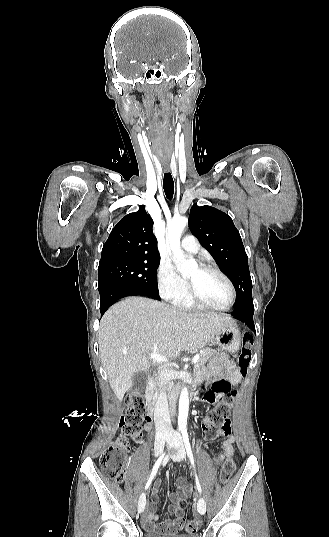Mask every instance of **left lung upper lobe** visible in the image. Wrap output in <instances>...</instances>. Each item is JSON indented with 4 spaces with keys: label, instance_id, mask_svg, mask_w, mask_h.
<instances>
[{
    "label": "left lung upper lobe",
    "instance_id": "5c2ea615",
    "mask_svg": "<svg viewBox=\"0 0 329 537\" xmlns=\"http://www.w3.org/2000/svg\"><path fill=\"white\" fill-rule=\"evenodd\" d=\"M189 226L221 270L231 279L237 297L234 310L254 309L248 256L232 219L216 208L199 207L195 203L190 210Z\"/></svg>",
    "mask_w": 329,
    "mask_h": 537
}]
</instances>
